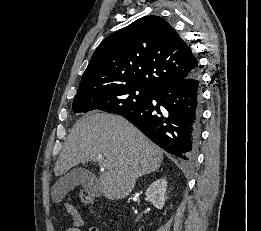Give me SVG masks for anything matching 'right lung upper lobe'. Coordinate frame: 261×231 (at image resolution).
<instances>
[{
    "label": "right lung upper lobe",
    "mask_w": 261,
    "mask_h": 231,
    "mask_svg": "<svg viewBox=\"0 0 261 231\" xmlns=\"http://www.w3.org/2000/svg\"><path fill=\"white\" fill-rule=\"evenodd\" d=\"M198 71L191 48L159 16L142 17L107 37L94 52L77 94L122 86L154 91Z\"/></svg>",
    "instance_id": "1"
}]
</instances>
